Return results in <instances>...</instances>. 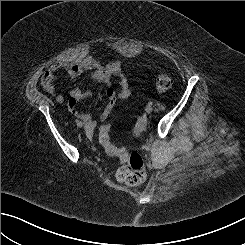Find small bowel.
<instances>
[{
    "label": "small bowel",
    "instance_id": "obj_1",
    "mask_svg": "<svg viewBox=\"0 0 245 245\" xmlns=\"http://www.w3.org/2000/svg\"><path fill=\"white\" fill-rule=\"evenodd\" d=\"M65 71L69 76L76 77L83 73L88 74L93 80L107 87V102L100 114V121H105L113 111L118 99H127L130 96V88L124 75L122 74V66L119 61H113L103 65L92 57H85L80 60L69 62H56L43 74L41 83L43 88L51 94L58 103H63L65 97L57 93L54 87V80L59 71ZM119 78V89L111 87L112 79ZM92 98L90 91H82L78 88L69 92L68 108L76 117L82 119L88 130H93L96 126V120L87 113L77 109V103Z\"/></svg>",
    "mask_w": 245,
    "mask_h": 245
}]
</instances>
